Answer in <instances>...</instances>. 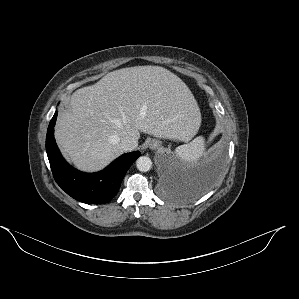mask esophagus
<instances>
[{
	"label": "esophagus",
	"mask_w": 299,
	"mask_h": 299,
	"mask_svg": "<svg viewBox=\"0 0 299 299\" xmlns=\"http://www.w3.org/2000/svg\"><path fill=\"white\" fill-rule=\"evenodd\" d=\"M149 147L150 149H157L159 147V143L157 141H152L150 144H149Z\"/></svg>",
	"instance_id": "esophagus-1"
}]
</instances>
